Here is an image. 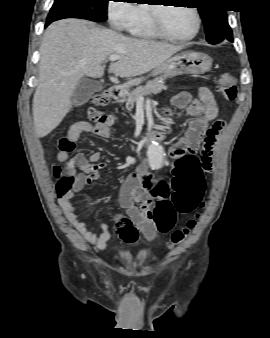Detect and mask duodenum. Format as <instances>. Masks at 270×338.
Wrapping results in <instances>:
<instances>
[{
	"mask_svg": "<svg viewBox=\"0 0 270 338\" xmlns=\"http://www.w3.org/2000/svg\"><path fill=\"white\" fill-rule=\"evenodd\" d=\"M108 95L112 100L120 99L123 95V87L122 86L111 87L108 91ZM163 133H164V127L161 126L157 128L156 130H154L153 135L157 138H160L161 136H163Z\"/></svg>",
	"mask_w": 270,
	"mask_h": 338,
	"instance_id": "410a0bca",
	"label": "duodenum"
}]
</instances>
